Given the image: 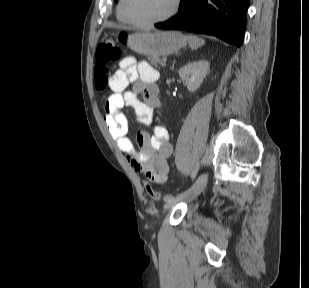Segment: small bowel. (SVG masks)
Instances as JSON below:
<instances>
[{
    "mask_svg": "<svg viewBox=\"0 0 309 288\" xmlns=\"http://www.w3.org/2000/svg\"><path fill=\"white\" fill-rule=\"evenodd\" d=\"M155 78L156 71L149 63L136 62L131 58L121 61L110 79L112 94L105 103L104 121L110 136L118 149L126 154L131 167L144 175L145 182L161 184L167 179V160L173 150L167 129L156 125L152 134L140 131L136 137L140 147L138 150L127 136L128 123L122 113L124 106L132 107L140 124L152 123L154 110L161 106ZM130 85L132 89H128Z\"/></svg>",
    "mask_w": 309,
    "mask_h": 288,
    "instance_id": "1",
    "label": "small bowel"
}]
</instances>
